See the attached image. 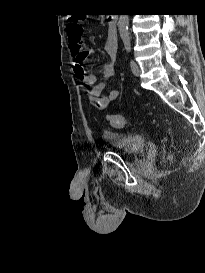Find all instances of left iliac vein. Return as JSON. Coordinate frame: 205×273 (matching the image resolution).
I'll list each match as a JSON object with an SVG mask.
<instances>
[{"label": "left iliac vein", "instance_id": "1", "mask_svg": "<svg viewBox=\"0 0 205 273\" xmlns=\"http://www.w3.org/2000/svg\"><path fill=\"white\" fill-rule=\"evenodd\" d=\"M131 70H132V73L135 75V76H139L140 75V68L138 66V64L134 61V60H131Z\"/></svg>", "mask_w": 205, "mask_h": 273}]
</instances>
